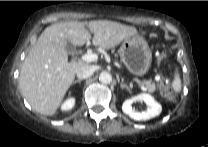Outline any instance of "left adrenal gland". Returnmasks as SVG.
<instances>
[{"label": "left adrenal gland", "mask_w": 208, "mask_h": 147, "mask_svg": "<svg viewBox=\"0 0 208 147\" xmlns=\"http://www.w3.org/2000/svg\"><path fill=\"white\" fill-rule=\"evenodd\" d=\"M121 88H126L127 90H129L130 91V88L127 86V85H125L124 83H121Z\"/></svg>", "instance_id": "obj_1"}]
</instances>
